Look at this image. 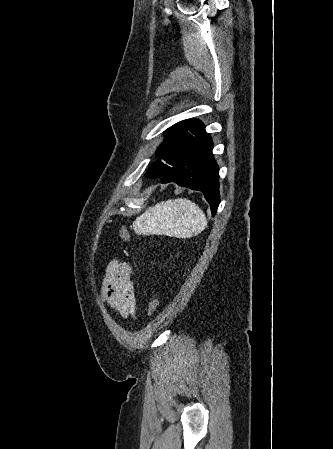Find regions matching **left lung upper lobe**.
<instances>
[{"instance_id":"1","label":"left lung upper lobe","mask_w":333,"mask_h":449,"mask_svg":"<svg viewBox=\"0 0 333 449\" xmlns=\"http://www.w3.org/2000/svg\"><path fill=\"white\" fill-rule=\"evenodd\" d=\"M203 126V123L197 119H191L178 122L168 128L165 142L156 151V156L160 159L154 163L148 177H163L179 167L186 160Z\"/></svg>"}]
</instances>
